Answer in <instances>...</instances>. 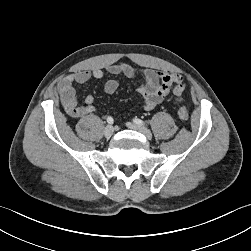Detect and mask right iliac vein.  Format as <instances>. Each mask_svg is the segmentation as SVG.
Returning <instances> with one entry per match:
<instances>
[{
    "label": "right iliac vein",
    "mask_w": 251,
    "mask_h": 251,
    "mask_svg": "<svg viewBox=\"0 0 251 251\" xmlns=\"http://www.w3.org/2000/svg\"><path fill=\"white\" fill-rule=\"evenodd\" d=\"M113 133H114L113 126L108 125V126L105 127V129H104V136L106 138H110L113 135Z\"/></svg>",
    "instance_id": "1"
}]
</instances>
